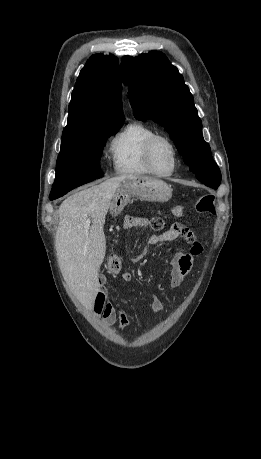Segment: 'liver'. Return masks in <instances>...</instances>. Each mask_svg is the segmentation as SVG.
Here are the masks:
<instances>
[{
    "label": "liver",
    "instance_id": "1",
    "mask_svg": "<svg viewBox=\"0 0 261 459\" xmlns=\"http://www.w3.org/2000/svg\"><path fill=\"white\" fill-rule=\"evenodd\" d=\"M127 177H113L76 192L59 207L55 238L59 267L77 299L89 309L100 288L99 269L106 253L105 217L118 187ZM89 218L92 226L86 229Z\"/></svg>",
    "mask_w": 261,
    "mask_h": 459
}]
</instances>
